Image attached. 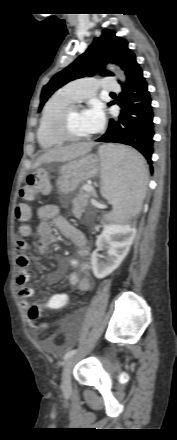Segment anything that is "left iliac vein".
<instances>
[{"mask_svg": "<svg viewBox=\"0 0 177 440\" xmlns=\"http://www.w3.org/2000/svg\"><path fill=\"white\" fill-rule=\"evenodd\" d=\"M75 360V357L71 356L64 363L61 382V387L63 391H68L71 387V371L74 366Z\"/></svg>", "mask_w": 177, "mask_h": 440, "instance_id": "1", "label": "left iliac vein"}]
</instances>
